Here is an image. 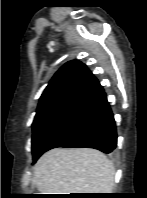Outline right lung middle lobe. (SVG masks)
I'll return each instance as SVG.
<instances>
[{
  "label": "right lung middle lobe",
  "mask_w": 147,
  "mask_h": 198,
  "mask_svg": "<svg viewBox=\"0 0 147 198\" xmlns=\"http://www.w3.org/2000/svg\"><path fill=\"white\" fill-rule=\"evenodd\" d=\"M74 105H52L37 110L33 121L32 153L37 155L39 147Z\"/></svg>",
  "instance_id": "obj_1"
}]
</instances>
